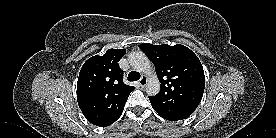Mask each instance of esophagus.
<instances>
[{
  "label": "esophagus",
  "instance_id": "obj_1",
  "mask_svg": "<svg viewBox=\"0 0 276 138\" xmlns=\"http://www.w3.org/2000/svg\"><path fill=\"white\" fill-rule=\"evenodd\" d=\"M147 81H148V78L146 76H142L138 84L140 85V87L144 88L147 85Z\"/></svg>",
  "mask_w": 276,
  "mask_h": 138
}]
</instances>
